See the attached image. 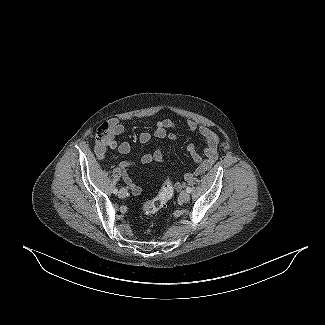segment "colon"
<instances>
[{
    "instance_id": "obj_1",
    "label": "colon",
    "mask_w": 325,
    "mask_h": 325,
    "mask_svg": "<svg viewBox=\"0 0 325 325\" xmlns=\"http://www.w3.org/2000/svg\"><path fill=\"white\" fill-rule=\"evenodd\" d=\"M107 134V127L102 125L96 134L98 140H103ZM174 194V185L170 179H166L156 197L147 200L142 205L145 215H153L163 209Z\"/></svg>"
}]
</instances>
